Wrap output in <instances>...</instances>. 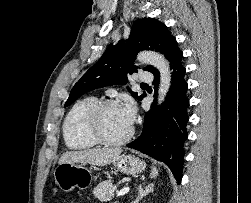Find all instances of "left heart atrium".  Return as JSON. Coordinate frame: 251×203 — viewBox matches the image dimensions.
Wrapping results in <instances>:
<instances>
[{
  "mask_svg": "<svg viewBox=\"0 0 251 203\" xmlns=\"http://www.w3.org/2000/svg\"><path fill=\"white\" fill-rule=\"evenodd\" d=\"M121 111L127 122L132 125L135 120L136 109L131 100H126L121 106Z\"/></svg>",
  "mask_w": 251,
  "mask_h": 203,
  "instance_id": "left-heart-atrium-1",
  "label": "left heart atrium"
}]
</instances>
